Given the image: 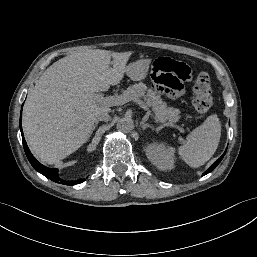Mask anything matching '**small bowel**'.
Listing matches in <instances>:
<instances>
[{"label":"small bowel","instance_id":"obj_1","mask_svg":"<svg viewBox=\"0 0 257 257\" xmlns=\"http://www.w3.org/2000/svg\"><path fill=\"white\" fill-rule=\"evenodd\" d=\"M192 78V70L187 63L159 56L152 61L146 81L150 87L173 100L183 95L186 87L192 83Z\"/></svg>","mask_w":257,"mask_h":257}]
</instances>
